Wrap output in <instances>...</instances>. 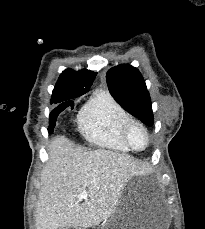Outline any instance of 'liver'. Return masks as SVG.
Wrapping results in <instances>:
<instances>
[{
	"instance_id": "6515ba94",
	"label": "liver",
	"mask_w": 205,
	"mask_h": 229,
	"mask_svg": "<svg viewBox=\"0 0 205 229\" xmlns=\"http://www.w3.org/2000/svg\"><path fill=\"white\" fill-rule=\"evenodd\" d=\"M48 154L35 212L37 229H85L106 221L126 183L140 170L127 154L88 150L64 136L50 141ZM84 190L89 197L82 202L77 196Z\"/></svg>"
}]
</instances>
